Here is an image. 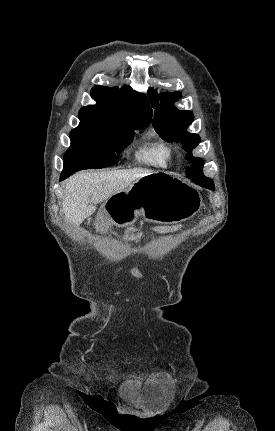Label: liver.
I'll return each instance as SVG.
<instances>
[{"label": "liver", "mask_w": 275, "mask_h": 431, "mask_svg": "<svg viewBox=\"0 0 275 431\" xmlns=\"http://www.w3.org/2000/svg\"><path fill=\"white\" fill-rule=\"evenodd\" d=\"M151 173L145 169L77 173L65 183L62 210L74 226H79L95 212L93 204L126 190L134 181Z\"/></svg>", "instance_id": "obj_1"}]
</instances>
